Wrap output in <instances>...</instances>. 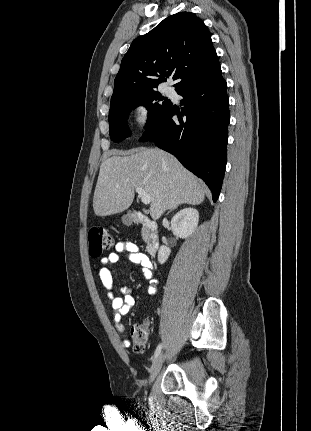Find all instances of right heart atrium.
<instances>
[{"label":"right heart atrium","mask_w":311,"mask_h":431,"mask_svg":"<svg viewBox=\"0 0 311 431\" xmlns=\"http://www.w3.org/2000/svg\"><path fill=\"white\" fill-rule=\"evenodd\" d=\"M131 117L134 125L140 131L149 128L152 123V109L145 100H138L131 106Z\"/></svg>","instance_id":"obj_1"}]
</instances>
